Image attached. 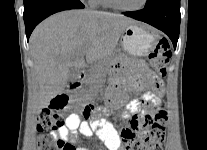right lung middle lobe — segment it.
<instances>
[{"instance_id":"dd1d6c3e","label":"right lung middle lobe","mask_w":207,"mask_h":150,"mask_svg":"<svg viewBox=\"0 0 207 150\" xmlns=\"http://www.w3.org/2000/svg\"><path fill=\"white\" fill-rule=\"evenodd\" d=\"M32 0H24V5L30 3Z\"/></svg>"}]
</instances>
